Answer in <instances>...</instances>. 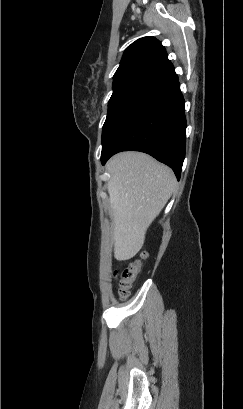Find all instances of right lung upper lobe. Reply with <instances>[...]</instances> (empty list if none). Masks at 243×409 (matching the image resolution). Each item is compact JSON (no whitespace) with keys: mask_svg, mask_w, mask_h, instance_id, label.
I'll return each mask as SVG.
<instances>
[{"mask_svg":"<svg viewBox=\"0 0 243 409\" xmlns=\"http://www.w3.org/2000/svg\"><path fill=\"white\" fill-rule=\"evenodd\" d=\"M173 71L174 67L161 43L154 37H143L125 50L120 66L113 76V84L135 77L163 80Z\"/></svg>","mask_w":243,"mask_h":409,"instance_id":"1","label":"right lung upper lobe"}]
</instances>
